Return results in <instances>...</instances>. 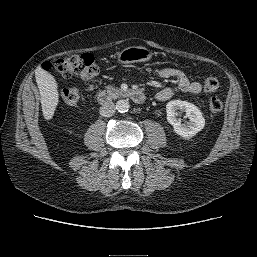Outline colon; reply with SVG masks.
Returning a JSON list of instances; mask_svg holds the SVG:
<instances>
[{
  "label": "colon",
  "instance_id": "1",
  "mask_svg": "<svg viewBox=\"0 0 257 257\" xmlns=\"http://www.w3.org/2000/svg\"><path fill=\"white\" fill-rule=\"evenodd\" d=\"M47 68L54 69L64 78L80 75L90 81L96 77L98 72L93 56L88 53L59 58L47 63ZM218 87L217 78L209 76L204 80L205 92L214 93ZM62 99L69 105H76L83 99V94L78 89L68 88L63 90ZM209 109L212 113H219L223 109V102L219 97L212 96L209 100Z\"/></svg>",
  "mask_w": 257,
  "mask_h": 257
}]
</instances>
